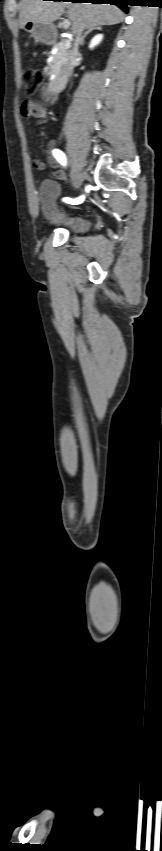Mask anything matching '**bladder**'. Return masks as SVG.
Returning a JSON list of instances; mask_svg holds the SVG:
<instances>
[{"mask_svg":"<svg viewBox=\"0 0 162 851\" xmlns=\"http://www.w3.org/2000/svg\"><path fill=\"white\" fill-rule=\"evenodd\" d=\"M59 185L53 180H45L39 188V200L42 211L48 222L57 228L67 230L71 234L80 235L89 227V220L79 214L61 209L58 201Z\"/></svg>","mask_w":162,"mask_h":851,"instance_id":"bladder-1","label":"bladder"}]
</instances>
